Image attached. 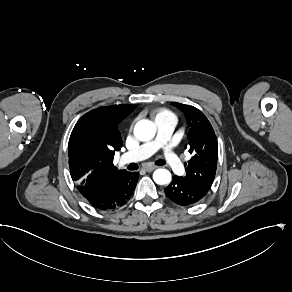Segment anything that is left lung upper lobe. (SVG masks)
<instances>
[{"instance_id":"5c2ea615","label":"left lung upper lobe","mask_w":292,"mask_h":292,"mask_svg":"<svg viewBox=\"0 0 292 292\" xmlns=\"http://www.w3.org/2000/svg\"><path fill=\"white\" fill-rule=\"evenodd\" d=\"M173 106L184 112L189 132L185 148L192 155L186 166V175L180 177L185 183L208 191L214 181L218 142L207 117L191 105L172 102Z\"/></svg>"}]
</instances>
